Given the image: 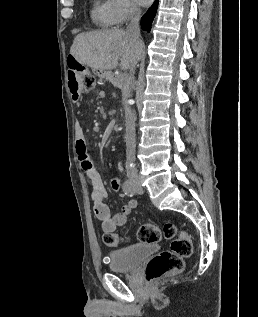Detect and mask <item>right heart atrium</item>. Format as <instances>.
<instances>
[{"label":"right heart atrium","mask_w":258,"mask_h":317,"mask_svg":"<svg viewBox=\"0 0 258 317\" xmlns=\"http://www.w3.org/2000/svg\"><path fill=\"white\" fill-rule=\"evenodd\" d=\"M136 11V5L132 0H111L110 13L112 26L125 25Z\"/></svg>","instance_id":"obj_1"}]
</instances>
